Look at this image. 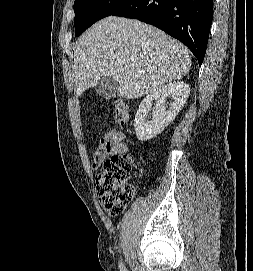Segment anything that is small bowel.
I'll return each instance as SVG.
<instances>
[{
    "mask_svg": "<svg viewBox=\"0 0 253 271\" xmlns=\"http://www.w3.org/2000/svg\"><path fill=\"white\" fill-rule=\"evenodd\" d=\"M124 139L125 134L117 130L102 135L93 154V168H98L101 161L109 155L128 152V147L123 144Z\"/></svg>",
    "mask_w": 253,
    "mask_h": 271,
    "instance_id": "small-bowel-1",
    "label": "small bowel"
}]
</instances>
